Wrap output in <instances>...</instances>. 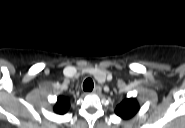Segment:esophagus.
Masks as SVG:
<instances>
[{
	"mask_svg": "<svg viewBox=\"0 0 185 128\" xmlns=\"http://www.w3.org/2000/svg\"><path fill=\"white\" fill-rule=\"evenodd\" d=\"M102 91V88L99 85H96L93 89V92L100 93Z\"/></svg>",
	"mask_w": 185,
	"mask_h": 128,
	"instance_id": "esophagus-1",
	"label": "esophagus"
}]
</instances>
